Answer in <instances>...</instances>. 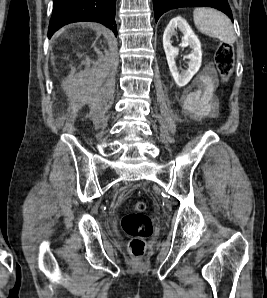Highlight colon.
<instances>
[{
	"mask_svg": "<svg viewBox=\"0 0 267 298\" xmlns=\"http://www.w3.org/2000/svg\"><path fill=\"white\" fill-rule=\"evenodd\" d=\"M217 70L223 81H227L233 72L234 48L231 44L221 43L215 54ZM146 205L143 201H136L132 211L126 213L121 220L123 231L130 236L128 249L135 258L143 256L146 248V240L153 233L151 218L146 215Z\"/></svg>",
	"mask_w": 267,
	"mask_h": 298,
	"instance_id": "obj_1",
	"label": "colon"
}]
</instances>
